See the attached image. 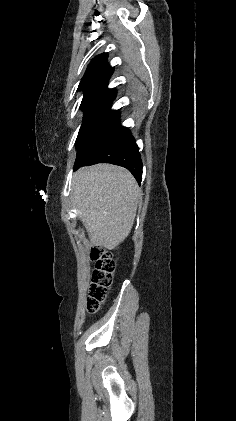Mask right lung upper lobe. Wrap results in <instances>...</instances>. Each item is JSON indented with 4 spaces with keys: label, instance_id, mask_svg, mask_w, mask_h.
I'll use <instances>...</instances> for the list:
<instances>
[{
    "label": "right lung upper lobe",
    "instance_id": "cb5924a9",
    "mask_svg": "<svg viewBox=\"0 0 236 421\" xmlns=\"http://www.w3.org/2000/svg\"><path fill=\"white\" fill-rule=\"evenodd\" d=\"M107 58V53H103L92 60L80 82L79 89L87 92L107 86L113 73V68L107 63Z\"/></svg>",
    "mask_w": 236,
    "mask_h": 421
}]
</instances>
